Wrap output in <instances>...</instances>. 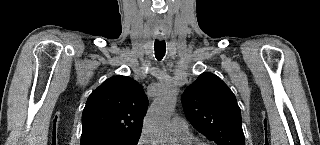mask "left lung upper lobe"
<instances>
[{
    "label": "left lung upper lobe",
    "instance_id": "obj_1",
    "mask_svg": "<svg viewBox=\"0 0 320 145\" xmlns=\"http://www.w3.org/2000/svg\"><path fill=\"white\" fill-rule=\"evenodd\" d=\"M181 101L192 126L217 145H245L240 108L218 76L210 72L199 75Z\"/></svg>",
    "mask_w": 320,
    "mask_h": 145
}]
</instances>
